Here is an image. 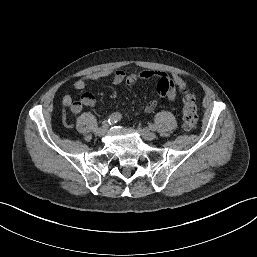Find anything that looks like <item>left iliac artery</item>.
<instances>
[{
	"instance_id": "44dca946",
	"label": "left iliac artery",
	"mask_w": 257,
	"mask_h": 257,
	"mask_svg": "<svg viewBox=\"0 0 257 257\" xmlns=\"http://www.w3.org/2000/svg\"><path fill=\"white\" fill-rule=\"evenodd\" d=\"M149 127H150V129H152V130L155 129V126H154V125H151V124H150Z\"/></svg>"
}]
</instances>
